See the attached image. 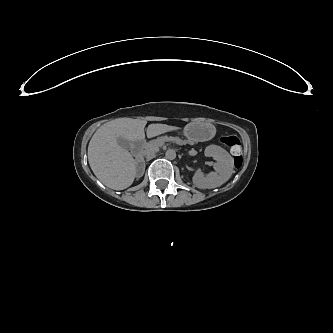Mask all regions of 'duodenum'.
Wrapping results in <instances>:
<instances>
[{
    "instance_id": "obj_1",
    "label": "duodenum",
    "mask_w": 333,
    "mask_h": 333,
    "mask_svg": "<svg viewBox=\"0 0 333 333\" xmlns=\"http://www.w3.org/2000/svg\"><path fill=\"white\" fill-rule=\"evenodd\" d=\"M143 146H144V142H141L140 147L143 148Z\"/></svg>"
}]
</instances>
